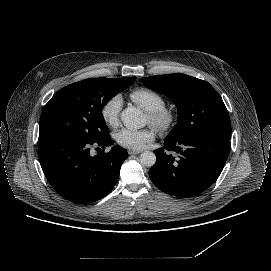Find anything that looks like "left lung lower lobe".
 Here are the masks:
<instances>
[{"label":"left lung lower lobe","mask_w":271,"mask_h":271,"mask_svg":"<svg viewBox=\"0 0 271 271\" xmlns=\"http://www.w3.org/2000/svg\"><path fill=\"white\" fill-rule=\"evenodd\" d=\"M230 139L231 132L212 129L176 140L164 139V148L155 150L156 163L149 171L150 179L169 195L181 198L198 195L222 172L230 151ZM164 149L179 156L173 157Z\"/></svg>","instance_id":"left-lung-lower-lobe-1"}]
</instances>
